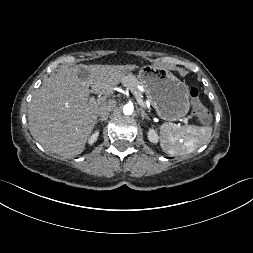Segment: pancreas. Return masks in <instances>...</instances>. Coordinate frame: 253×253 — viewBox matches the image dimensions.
<instances>
[{"instance_id":"pancreas-1","label":"pancreas","mask_w":253,"mask_h":253,"mask_svg":"<svg viewBox=\"0 0 253 253\" xmlns=\"http://www.w3.org/2000/svg\"><path fill=\"white\" fill-rule=\"evenodd\" d=\"M122 84L126 87L134 88L138 92V94L142 97V93L137 88L138 81L134 77L131 76L126 77L125 79H123Z\"/></svg>"}]
</instances>
